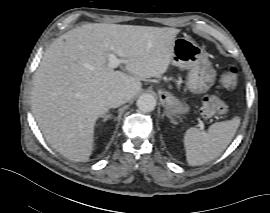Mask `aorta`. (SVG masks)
I'll return each mask as SVG.
<instances>
[{"label":"aorta","instance_id":"aorta-1","mask_svg":"<svg viewBox=\"0 0 270 213\" xmlns=\"http://www.w3.org/2000/svg\"><path fill=\"white\" fill-rule=\"evenodd\" d=\"M137 107L143 112H151L156 106V99L151 94H142L137 100Z\"/></svg>","mask_w":270,"mask_h":213}]
</instances>
